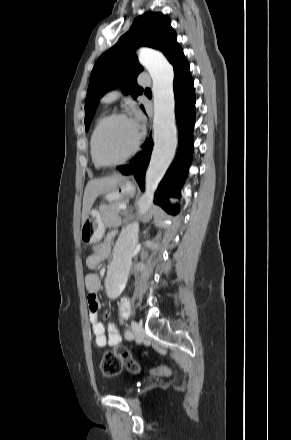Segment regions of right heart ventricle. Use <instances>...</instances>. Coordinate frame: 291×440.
<instances>
[{
	"instance_id": "1",
	"label": "right heart ventricle",
	"mask_w": 291,
	"mask_h": 440,
	"mask_svg": "<svg viewBox=\"0 0 291 440\" xmlns=\"http://www.w3.org/2000/svg\"><path fill=\"white\" fill-rule=\"evenodd\" d=\"M97 124H98V121H97V123H96V125H95V127H94V130H93V132H92V135H91L90 148H91V156H92L93 163H94L96 166H99V164L95 161V159H94V157H93V144H92L93 134H94V131H95V128H96Z\"/></svg>"
}]
</instances>
